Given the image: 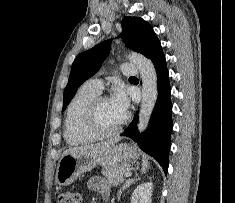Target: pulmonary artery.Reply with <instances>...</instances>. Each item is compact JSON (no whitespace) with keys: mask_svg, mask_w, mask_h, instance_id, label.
Here are the masks:
<instances>
[{"mask_svg":"<svg viewBox=\"0 0 235 203\" xmlns=\"http://www.w3.org/2000/svg\"><path fill=\"white\" fill-rule=\"evenodd\" d=\"M121 72L126 76H132L137 73V70L133 64L124 63L121 65ZM87 84L99 92H101L103 89V81L99 78H92L87 81Z\"/></svg>","mask_w":235,"mask_h":203,"instance_id":"e3ab8cb5","label":"pulmonary artery"}]
</instances>
